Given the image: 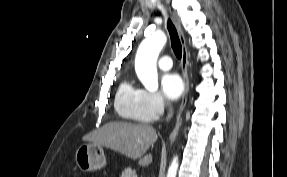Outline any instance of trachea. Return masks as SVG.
I'll use <instances>...</instances> for the list:
<instances>
[{"label":"trachea","instance_id":"obj_1","mask_svg":"<svg viewBox=\"0 0 287 177\" xmlns=\"http://www.w3.org/2000/svg\"><path fill=\"white\" fill-rule=\"evenodd\" d=\"M167 29L170 34L172 49L176 57L180 59L182 57V45H181V42L178 36V32L170 19H168V22H167Z\"/></svg>","mask_w":287,"mask_h":177}]
</instances>
